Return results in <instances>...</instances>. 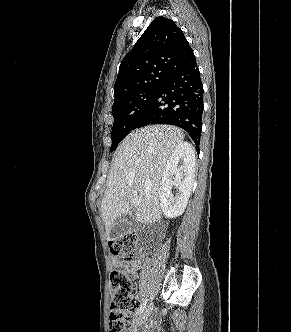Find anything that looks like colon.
<instances>
[{
  "label": "colon",
  "instance_id": "5ec220e1",
  "mask_svg": "<svg viewBox=\"0 0 291 332\" xmlns=\"http://www.w3.org/2000/svg\"><path fill=\"white\" fill-rule=\"evenodd\" d=\"M137 236L134 233L125 234L109 242L113 255L120 256L125 263L134 266L140 260L136 249ZM133 273L128 270H117L111 273L110 281L113 291L109 332H126L134 319V312L139 302L133 291Z\"/></svg>",
  "mask_w": 291,
  "mask_h": 332
}]
</instances>
